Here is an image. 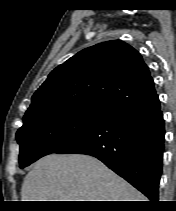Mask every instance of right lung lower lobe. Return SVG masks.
<instances>
[{"label":"right lung lower lobe","instance_id":"right-lung-lower-lobe-1","mask_svg":"<svg viewBox=\"0 0 176 211\" xmlns=\"http://www.w3.org/2000/svg\"><path fill=\"white\" fill-rule=\"evenodd\" d=\"M165 127L158 95L107 115L55 153L94 156L151 201H158Z\"/></svg>","mask_w":176,"mask_h":211}]
</instances>
